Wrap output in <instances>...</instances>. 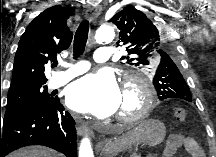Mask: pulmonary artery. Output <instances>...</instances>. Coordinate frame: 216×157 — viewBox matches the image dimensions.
I'll list each match as a JSON object with an SVG mask.
<instances>
[{
    "mask_svg": "<svg viewBox=\"0 0 216 157\" xmlns=\"http://www.w3.org/2000/svg\"><path fill=\"white\" fill-rule=\"evenodd\" d=\"M111 57V51L108 47H99L93 54V58L96 62H108ZM90 65L86 61H80L77 63L66 64V69L64 71L54 74L50 81L49 87L56 88L60 87L73 78L88 71Z\"/></svg>",
    "mask_w": 216,
    "mask_h": 157,
    "instance_id": "e3ab8cb5",
    "label": "pulmonary artery"
}]
</instances>
